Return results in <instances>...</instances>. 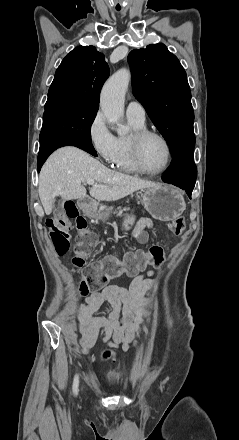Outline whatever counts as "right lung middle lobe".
Instances as JSON below:
<instances>
[{
  "instance_id": "dd1d6c3e",
  "label": "right lung middle lobe",
  "mask_w": 239,
  "mask_h": 440,
  "mask_svg": "<svg viewBox=\"0 0 239 440\" xmlns=\"http://www.w3.org/2000/svg\"><path fill=\"white\" fill-rule=\"evenodd\" d=\"M97 110L83 109L66 103L45 105L40 146L63 136H82L91 140V124Z\"/></svg>"
}]
</instances>
